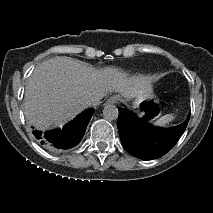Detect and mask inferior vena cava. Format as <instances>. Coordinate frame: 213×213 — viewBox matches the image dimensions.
Listing matches in <instances>:
<instances>
[{
  "label": "inferior vena cava",
  "instance_id": "602c4592",
  "mask_svg": "<svg viewBox=\"0 0 213 213\" xmlns=\"http://www.w3.org/2000/svg\"><path fill=\"white\" fill-rule=\"evenodd\" d=\"M105 95H96L91 97L88 101H86V104L88 106H97L101 103V99L104 97Z\"/></svg>",
  "mask_w": 213,
  "mask_h": 213
}]
</instances>
